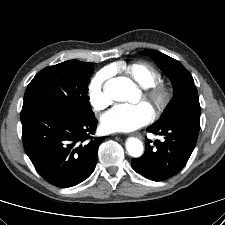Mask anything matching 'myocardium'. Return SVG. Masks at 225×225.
Listing matches in <instances>:
<instances>
[{"mask_svg": "<svg viewBox=\"0 0 225 225\" xmlns=\"http://www.w3.org/2000/svg\"><path fill=\"white\" fill-rule=\"evenodd\" d=\"M144 90V98L154 106L159 114L166 110L173 97L172 89L162 83L144 88Z\"/></svg>", "mask_w": 225, "mask_h": 225, "instance_id": "f54148a6", "label": "myocardium"}]
</instances>
